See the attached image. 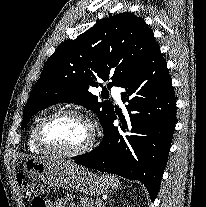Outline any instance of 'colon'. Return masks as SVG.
I'll use <instances>...</instances> for the list:
<instances>
[{"instance_id": "obj_1", "label": "colon", "mask_w": 206, "mask_h": 207, "mask_svg": "<svg viewBox=\"0 0 206 207\" xmlns=\"http://www.w3.org/2000/svg\"><path fill=\"white\" fill-rule=\"evenodd\" d=\"M17 181L24 195L31 200V207H46L44 199L37 195L36 181L32 176L19 172Z\"/></svg>"}]
</instances>
